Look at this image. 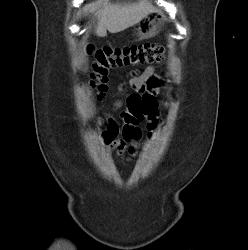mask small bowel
Segmentation results:
<instances>
[{"label": "small bowel", "mask_w": 248, "mask_h": 250, "mask_svg": "<svg viewBox=\"0 0 248 250\" xmlns=\"http://www.w3.org/2000/svg\"><path fill=\"white\" fill-rule=\"evenodd\" d=\"M155 78V81L149 82L150 79ZM130 85L140 91H153L160 86V81L154 76V69L152 67L146 68L142 74L133 78ZM122 100L115 103L116 108L122 106ZM123 128L120 129L118 123L110 116L106 118L107 126L103 132V138L107 145L115 149L120 154L133 155L138 148V140L141 137V131L136 126L140 121L128 108L122 115ZM149 123V129L152 130L157 123L156 110L149 116L145 117ZM121 135V136H119Z\"/></svg>", "instance_id": "c3829d8e"}]
</instances>
